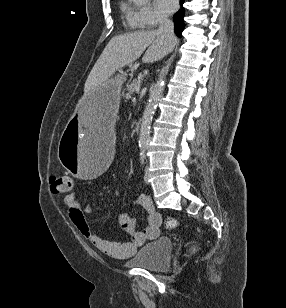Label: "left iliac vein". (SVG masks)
Instances as JSON below:
<instances>
[{
	"label": "left iliac vein",
	"instance_id": "left-iliac-vein-1",
	"mask_svg": "<svg viewBox=\"0 0 286 308\" xmlns=\"http://www.w3.org/2000/svg\"><path fill=\"white\" fill-rule=\"evenodd\" d=\"M148 177H149V173H148V169L146 168L145 173H144V180L146 183H147Z\"/></svg>",
	"mask_w": 286,
	"mask_h": 308
}]
</instances>
